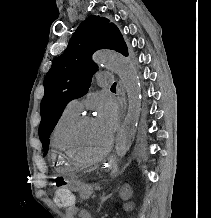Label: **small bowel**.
<instances>
[{
  "label": "small bowel",
  "instance_id": "small-bowel-1",
  "mask_svg": "<svg viewBox=\"0 0 211 218\" xmlns=\"http://www.w3.org/2000/svg\"><path fill=\"white\" fill-rule=\"evenodd\" d=\"M68 212H69V213H75V212H76V208H74V207L69 208V209H68ZM79 215H80V213H79Z\"/></svg>",
  "mask_w": 211,
  "mask_h": 218
}]
</instances>
